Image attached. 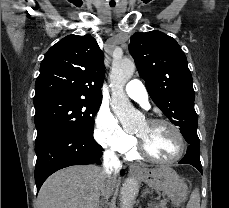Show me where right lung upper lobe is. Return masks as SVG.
Instances as JSON below:
<instances>
[{
	"label": "right lung upper lobe",
	"mask_w": 229,
	"mask_h": 208,
	"mask_svg": "<svg viewBox=\"0 0 229 208\" xmlns=\"http://www.w3.org/2000/svg\"><path fill=\"white\" fill-rule=\"evenodd\" d=\"M103 53L96 40L68 35L53 45L41 62L34 101L65 95L101 102L104 80Z\"/></svg>",
	"instance_id": "1"
}]
</instances>
